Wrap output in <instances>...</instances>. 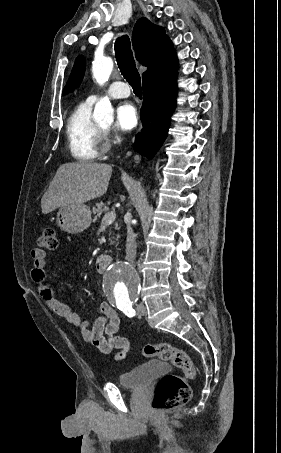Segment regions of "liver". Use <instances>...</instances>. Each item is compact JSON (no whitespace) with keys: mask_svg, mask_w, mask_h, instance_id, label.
<instances>
[{"mask_svg":"<svg viewBox=\"0 0 281 453\" xmlns=\"http://www.w3.org/2000/svg\"><path fill=\"white\" fill-rule=\"evenodd\" d=\"M111 164L105 162H65L59 166L41 198L43 214L71 202H88L107 192Z\"/></svg>","mask_w":281,"mask_h":453,"instance_id":"liver-1","label":"liver"}]
</instances>
